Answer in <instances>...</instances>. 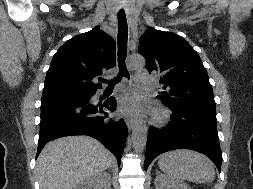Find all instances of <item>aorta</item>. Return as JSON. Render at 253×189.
Instances as JSON below:
<instances>
[{
	"label": "aorta",
	"mask_w": 253,
	"mask_h": 189,
	"mask_svg": "<svg viewBox=\"0 0 253 189\" xmlns=\"http://www.w3.org/2000/svg\"><path fill=\"white\" fill-rule=\"evenodd\" d=\"M145 65V61L141 56H131L129 66L131 68H141ZM147 126L143 122H139L132 132V143L136 152H143L147 143Z\"/></svg>",
	"instance_id": "762f6f07"
}]
</instances>
